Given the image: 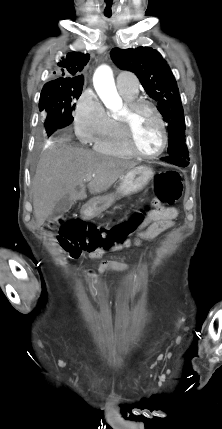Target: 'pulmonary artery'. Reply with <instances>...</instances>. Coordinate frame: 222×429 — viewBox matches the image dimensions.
Wrapping results in <instances>:
<instances>
[{"mask_svg": "<svg viewBox=\"0 0 222 429\" xmlns=\"http://www.w3.org/2000/svg\"><path fill=\"white\" fill-rule=\"evenodd\" d=\"M117 88L124 93H137L138 82L136 77L129 72H121L117 76Z\"/></svg>", "mask_w": 222, "mask_h": 429, "instance_id": "pulmonary-artery-1", "label": "pulmonary artery"}]
</instances>
